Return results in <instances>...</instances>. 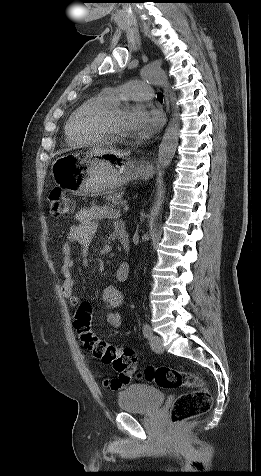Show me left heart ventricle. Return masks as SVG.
Segmentation results:
<instances>
[{
	"label": "left heart ventricle",
	"mask_w": 261,
	"mask_h": 476,
	"mask_svg": "<svg viewBox=\"0 0 261 476\" xmlns=\"http://www.w3.org/2000/svg\"><path fill=\"white\" fill-rule=\"evenodd\" d=\"M128 110L116 113L110 119L111 127L119 134L129 136L130 131L127 123Z\"/></svg>",
	"instance_id": "b2bd125f"
}]
</instances>
